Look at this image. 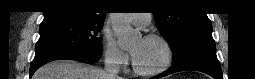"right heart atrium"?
<instances>
[{
	"instance_id": "1",
	"label": "right heart atrium",
	"mask_w": 255,
	"mask_h": 79,
	"mask_svg": "<svg viewBox=\"0 0 255 79\" xmlns=\"http://www.w3.org/2000/svg\"><path fill=\"white\" fill-rule=\"evenodd\" d=\"M105 57L109 64L123 69L128 65L127 54L117 45L112 38H107L105 42Z\"/></svg>"
}]
</instances>
